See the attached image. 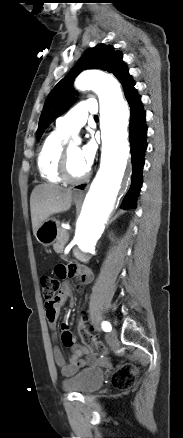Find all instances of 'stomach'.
<instances>
[{"label":"stomach","mask_w":183,"mask_h":438,"mask_svg":"<svg viewBox=\"0 0 183 438\" xmlns=\"http://www.w3.org/2000/svg\"><path fill=\"white\" fill-rule=\"evenodd\" d=\"M78 200L79 199L77 197H74L75 202H78ZM60 229L61 228L57 220L54 218H48L39 226L35 236L39 243L45 247H49L55 241H57Z\"/></svg>","instance_id":"0dacf381"}]
</instances>
